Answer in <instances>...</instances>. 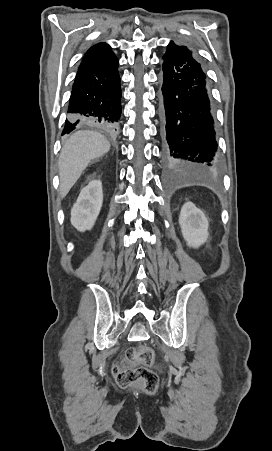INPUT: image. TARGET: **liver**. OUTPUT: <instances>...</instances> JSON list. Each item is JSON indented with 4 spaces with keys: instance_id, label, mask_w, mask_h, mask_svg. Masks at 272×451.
<instances>
[{
    "instance_id": "1",
    "label": "liver",
    "mask_w": 272,
    "mask_h": 451,
    "mask_svg": "<svg viewBox=\"0 0 272 451\" xmlns=\"http://www.w3.org/2000/svg\"><path fill=\"white\" fill-rule=\"evenodd\" d=\"M109 150L110 142L100 132L79 130L72 134L64 144L58 160L61 198L67 196L89 162L104 156Z\"/></svg>"
}]
</instances>
